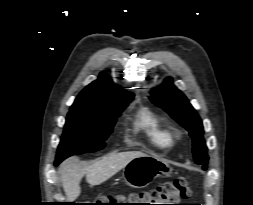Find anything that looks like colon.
I'll use <instances>...</instances> for the list:
<instances>
[{
    "label": "colon",
    "instance_id": "obj_1",
    "mask_svg": "<svg viewBox=\"0 0 253 205\" xmlns=\"http://www.w3.org/2000/svg\"><path fill=\"white\" fill-rule=\"evenodd\" d=\"M191 193L187 178L180 177L165 182L158 187L139 194L128 196H103L101 205H178L180 199L187 198Z\"/></svg>",
    "mask_w": 253,
    "mask_h": 205
}]
</instances>
